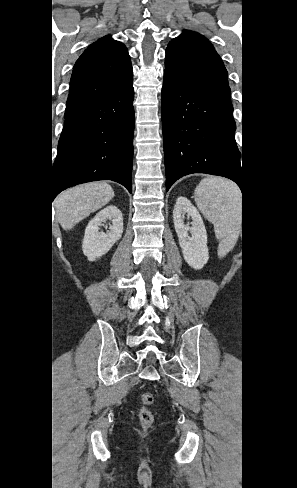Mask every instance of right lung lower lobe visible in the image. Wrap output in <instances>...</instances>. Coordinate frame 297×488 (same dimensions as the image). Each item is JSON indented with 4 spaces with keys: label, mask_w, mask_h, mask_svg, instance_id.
<instances>
[{
    "label": "right lung lower lobe",
    "mask_w": 297,
    "mask_h": 488,
    "mask_svg": "<svg viewBox=\"0 0 297 488\" xmlns=\"http://www.w3.org/2000/svg\"><path fill=\"white\" fill-rule=\"evenodd\" d=\"M133 74L99 97L65 113L51 196L81 183L113 180L131 193Z\"/></svg>",
    "instance_id": "right-lung-lower-lobe-1"
}]
</instances>
